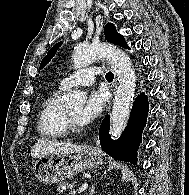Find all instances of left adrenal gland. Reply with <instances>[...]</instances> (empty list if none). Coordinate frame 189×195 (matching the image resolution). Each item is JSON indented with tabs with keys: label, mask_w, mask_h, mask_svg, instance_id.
<instances>
[{
	"label": "left adrenal gland",
	"mask_w": 189,
	"mask_h": 195,
	"mask_svg": "<svg viewBox=\"0 0 189 195\" xmlns=\"http://www.w3.org/2000/svg\"><path fill=\"white\" fill-rule=\"evenodd\" d=\"M94 189H95V186L93 184L91 187V190H90V195H94V193H95Z\"/></svg>",
	"instance_id": "obj_1"
}]
</instances>
